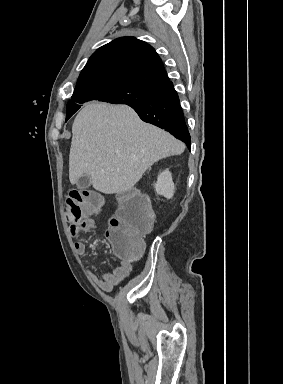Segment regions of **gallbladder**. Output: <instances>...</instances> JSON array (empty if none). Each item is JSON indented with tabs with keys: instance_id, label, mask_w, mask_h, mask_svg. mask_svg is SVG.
<instances>
[{
	"instance_id": "obj_1",
	"label": "gallbladder",
	"mask_w": 283,
	"mask_h": 384,
	"mask_svg": "<svg viewBox=\"0 0 283 384\" xmlns=\"http://www.w3.org/2000/svg\"><path fill=\"white\" fill-rule=\"evenodd\" d=\"M76 186H77V188H79L80 186H85L86 188H89V186H90L89 176H82V178H79Z\"/></svg>"
}]
</instances>
